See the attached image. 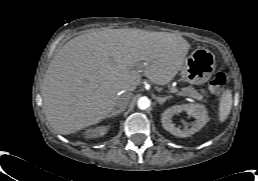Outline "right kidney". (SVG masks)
I'll list each match as a JSON object with an SVG mask.
<instances>
[{
  "instance_id": "1",
  "label": "right kidney",
  "mask_w": 258,
  "mask_h": 181,
  "mask_svg": "<svg viewBox=\"0 0 258 181\" xmlns=\"http://www.w3.org/2000/svg\"><path fill=\"white\" fill-rule=\"evenodd\" d=\"M107 131H108L107 126H99L94 129H90V130L86 131L85 135L88 138H96V137L105 135Z\"/></svg>"
}]
</instances>
